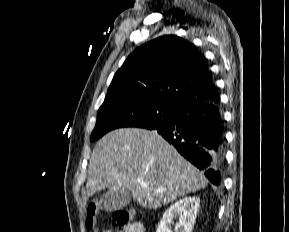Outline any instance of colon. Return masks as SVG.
<instances>
[{"instance_id": "1", "label": "colon", "mask_w": 289, "mask_h": 232, "mask_svg": "<svg viewBox=\"0 0 289 232\" xmlns=\"http://www.w3.org/2000/svg\"><path fill=\"white\" fill-rule=\"evenodd\" d=\"M99 213L98 201L93 200L88 204L85 225L91 232H96V217ZM133 217V212L129 209H117L113 212V219L118 227L128 225Z\"/></svg>"}]
</instances>
